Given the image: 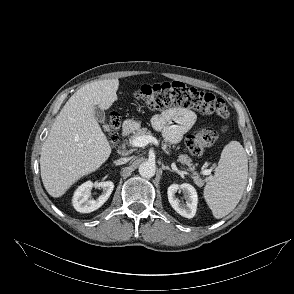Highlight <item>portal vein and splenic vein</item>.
Listing matches in <instances>:
<instances>
[{"instance_id": "obj_1", "label": "portal vein and splenic vein", "mask_w": 294, "mask_h": 294, "mask_svg": "<svg viewBox=\"0 0 294 294\" xmlns=\"http://www.w3.org/2000/svg\"><path fill=\"white\" fill-rule=\"evenodd\" d=\"M130 143L134 147H145L149 143H153L156 146L159 145L158 140L155 137L150 136V135L133 138L130 140Z\"/></svg>"}]
</instances>
